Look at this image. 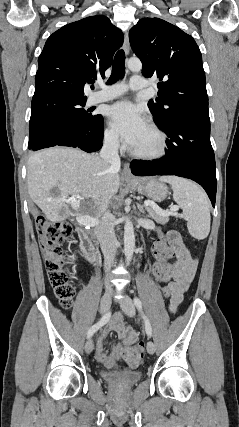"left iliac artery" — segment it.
I'll return each mask as SVG.
<instances>
[{"mask_svg": "<svg viewBox=\"0 0 239 427\" xmlns=\"http://www.w3.org/2000/svg\"><path fill=\"white\" fill-rule=\"evenodd\" d=\"M134 304H135L136 308L141 312V315H142V317L145 320V330H146L147 335L149 337H151V335H152V328H151L149 320L146 318V316L142 312V303H141V301H140V299L138 297L134 298Z\"/></svg>", "mask_w": 239, "mask_h": 427, "instance_id": "44dca946", "label": "left iliac artery"}]
</instances>
